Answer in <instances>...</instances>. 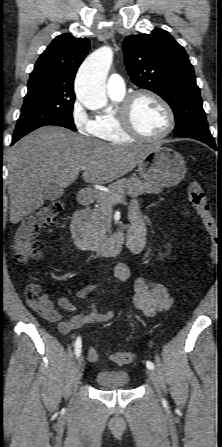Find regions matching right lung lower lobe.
Segmentation results:
<instances>
[{"label": "right lung lower lobe", "instance_id": "98d812e1", "mask_svg": "<svg viewBox=\"0 0 222 447\" xmlns=\"http://www.w3.org/2000/svg\"><path fill=\"white\" fill-rule=\"evenodd\" d=\"M18 139H12V144H14Z\"/></svg>", "mask_w": 222, "mask_h": 447}]
</instances>
